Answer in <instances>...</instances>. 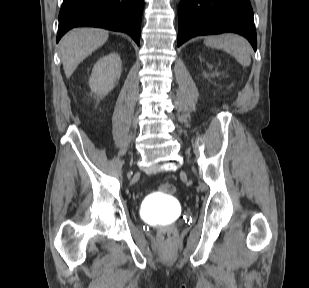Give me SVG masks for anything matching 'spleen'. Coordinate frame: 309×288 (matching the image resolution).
Returning a JSON list of instances; mask_svg holds the SVG:
<instances>
[{
  "mask_svg": "<svg viewBox=\"0 0 309 288\" xmlns=\"http://www.w3.org/2000/svg\"><path fill=\"white\" fill-rule=\"evenodd\" d=\"M208 47L223 49L232 55L240 65L248 67L251 64V47L246 39L239 35L222 34L209 36L204 40Z\"/></svg>",
  "mask_w": 309,
  "mask_h": 288,
  "instance_id": "spleen-1",
  "label": "spleen"
}]
</instances>
